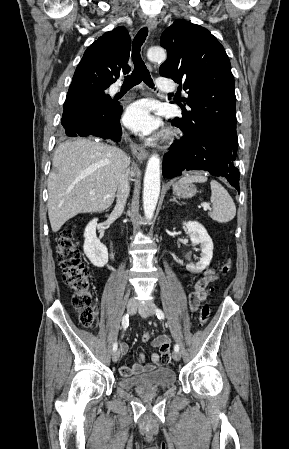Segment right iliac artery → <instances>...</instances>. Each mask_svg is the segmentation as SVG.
<instances>
[{
	"instance_id": "1",
	"label": "right iliac artery",
	"mask_w": 289,
	"mask_h": 449,
	"mask_svg": "<svg viewBox=\"0 0 289 449\" xmlns=\"http://www.w3.org/2000/svg\"><path fill=\"white\" fill-rule=\"evenodd\" d=\"M128 325H129V315H128V314H125V315L123 316V318H122V327H123V329L126 330V328L128 327ZM117 348H118V343L115 342L114 345H113V351H116Z\"/></svg>"
}]
</instances>
